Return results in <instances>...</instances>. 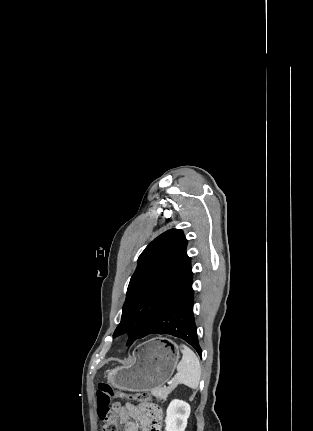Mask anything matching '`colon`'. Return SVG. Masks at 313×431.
Masks as SVG:
<instances>
[{
    "instance_id": "5ec220e1",
    "label": "colon",
    "mask_w": 313,
    "mask_h": 431,
    "mask_svg": "<svg viewBox=\"0 0 313 431\" xmlns=\"http://www.w3.org/2000/svg\"><path fill=\"white\" fill-rule=\"evenodd\" d=\"M97 411L100 420L103 422L102 431H119L116 422V416L110 408L113 398L130 399L141 402L146 406L147 412L153 417V431H160L161 410L159 406L152 401L151 396L146 392L135 394L126 393L115 389L107 382H100L97 388Z\"/></svg>"
}]
</instances>
